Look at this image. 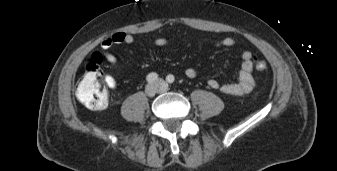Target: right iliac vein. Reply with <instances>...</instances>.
<instances>
[{"mask_svg": "<svg viewBox=\"0 0 337 171\" xmlns=\"http://www.w3.org/2000/svg\"><path fill=\"white\" fill-rule=\"evenodd\" d=\"M159 91V88L156 84H149L147 85L146 89H145V93L149 96V97H153L155 96Z\"/></svg>", "mask_w": 337, "mask_h": 171, "instance_id": "obj_1", "label": "right iliac vein"}]
</instances>
